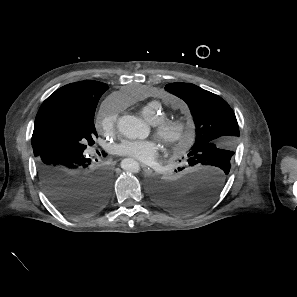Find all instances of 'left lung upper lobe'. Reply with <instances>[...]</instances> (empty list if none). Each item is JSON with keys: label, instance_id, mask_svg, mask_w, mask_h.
<instances>
[{"label": "left lung upper lobe", "instance_id": "left-lung-upper-lobe-1", "mask_svg": "<svg viewBox=\"0 0 297 297\" xmlns=\"http://www.w3.org/2000/svg\"><path fill=\"white\" fill-rule=\"evenodd\" d=\"M165 89L183 99L194 118L196 140L188 151V161L194 165L211 161L230 170L239 127L228 103L191 83H170Z\"/></svg>", "mask_w": 297, "mask_h": 297}]
</instances>
